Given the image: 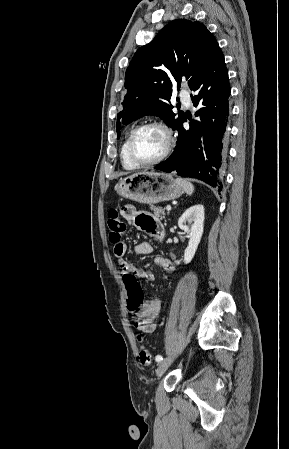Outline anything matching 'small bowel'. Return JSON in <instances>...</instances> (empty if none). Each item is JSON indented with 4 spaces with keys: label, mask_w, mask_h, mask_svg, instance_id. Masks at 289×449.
<instances>
[{
    "label": "small bowel",
    "mask_w": 289,
    "mask_h": 449,
    "mask_svg": "<svg viewBox=\"0 0 289 449\" xmlns=\"http://www.w3.org/2000/svg\"><path fill=\"white\" fill-rule=\"evenodd\" d=\"M124 218L133 226L150 234L157 239H163L164 229L160 221L153 214L146 211H138L133 206H125L122 208ZM153 251L151 243L145 241L138 244L134 248L136 255H148ZM127 245L119 243L114 246V255L120 267V272L125 279L126 276L141 278L147 281H153L155 275L152 271L141 269L134 266L130 261L125 259ZM154 264L165 272H173L175 267L170 259L163 255L154 256ZM161 302L159 299H150L142 303L138 313V320L135 326L144 333H152L157 327L156 319L160 313Z\"/></svg>",
    "instance_id": "small-bowel-1"
}]
</instances>
